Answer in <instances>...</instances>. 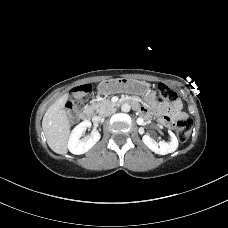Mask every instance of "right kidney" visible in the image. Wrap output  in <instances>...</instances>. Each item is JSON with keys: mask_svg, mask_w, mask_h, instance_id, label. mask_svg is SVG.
Returning a JSON list of instances; mask_svg holds the SVG:
<instances>
[{"mask_svg": "<svg viewBox=\"0 0 228 228\" xmlns=\"http://www.w3.org/2000/svg\"><path fill=\"white\" fill-rule=\"evenodd\" d=\"M89 127H91V122L86 120L72 130L68 140V149L72 154H84L100 140L101 135L97 130H93L88 139L80 140L82 134Z\"/></svg>", "mask_w": 228, "mask_h": 228, "instance_id": "1", "label": "right kidney"}]
</instances>
